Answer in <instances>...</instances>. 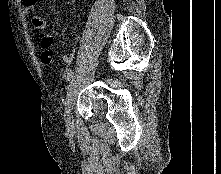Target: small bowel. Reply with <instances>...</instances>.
I'll return each instance as SVG.
<instances>
[{
  "label": "small bowel",
  "instance_id": "c3829d8e",
  "mask_svg": "<svg viewBox=\"0 0 221 174\" xmlns=\"http://www.w3.org/2000/svg\"><path fill=\"white\" fill-rule=\"evenodd\" d=\"M25 12L30 17L32 25L38 31H43L45 29V21L37 13V0H22ZM54 38L50 34H42L40 36V44L43 47V52L41 54V59L44 63L49 64L53 61V56L51 54V47L53 46ZM62 59L65 63H71V56L64 53Z\"/></svg>",
  "mask_w": 221,
  "mask_h": 174
}]
</instances>
